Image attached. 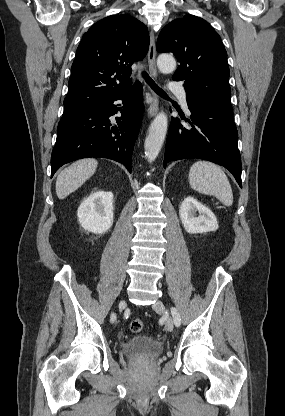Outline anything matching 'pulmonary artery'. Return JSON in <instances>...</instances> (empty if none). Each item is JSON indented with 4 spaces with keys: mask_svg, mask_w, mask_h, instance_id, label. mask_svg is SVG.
I'll use <instances>...</instances> for the list:
<instances>
[{
    "mask_svg": "<svg viewBox=\"0 0 285 416\" xmlns=\"http://www.w3.org/2000/svg\"><path fill=\"white\" fill-rule=\"evenodd\" d=\"M172 90L175 92V94L178 96L181 105L183 106V108L188 111V106H187V92L184 88L183 85L181 84H175L171 86Z\"/></svg>",
    "mask_w": 285,
    "mask_h": 416,
    "instance_id": "1",
    "label": "pulmonary artery"
}]
</instances>
